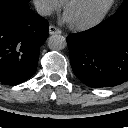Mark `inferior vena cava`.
I'll use <instances>...</instances> for the list:
<instances>
[{"label":"inferior vena cava","mask_w":128,"mask_h":128,"mask_svg":"<svg viewBox=\"0 0 128 128\" xmlns=\"http://www.w3.org/2000/svg\"><path fill=\"white\" fill-rule=\"evenodd\" d=\"M35 8L40 15L47 16L52 13V7L45 2H36Z\"/></svg>","instance_id":"inferior-vena-cava-1"}]
</instances>
